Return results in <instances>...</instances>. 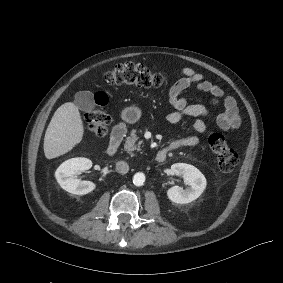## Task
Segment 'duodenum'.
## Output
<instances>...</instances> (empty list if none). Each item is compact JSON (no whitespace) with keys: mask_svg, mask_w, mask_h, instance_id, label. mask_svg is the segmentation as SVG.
<instances>
[{"mask_svg":"<svg viewBox=\"0 0 283 283\" xmlns=\"http://www.w3.org/2000/svg\"><path fill=\"white\" fill-rule=\"evenodd\" d=\"M126 134V127L123 124L116 125L111 133L110 143L107 149V154L109 156H114L118 151L124 137ZM168 148H163L159 150L155 155V160L157 162H164L167 157Z\"/></svg>","mask_w":283,"mask_h":283,"instance_id":"410a0bca","label":"duodenum"}]
</instances>
